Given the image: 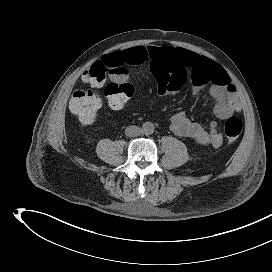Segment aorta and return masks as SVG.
I'll return each mask as SVG.
<instances>
[{"label": "aorta", "mask_w": 272, "mask_h": 272, "mask_svg": "<svg viewBox=\"0 0 272 272\" xmlns=\"http://www.w3.org/2000/svg\"><path fill=\"white\" fill-rule=\"evenodd\" d=\"M155 130V126L152 122H145L143 125H142V132L145 134V135H150L154 132Z\"/></svg>", "instance_id": "obj_1"}]
</instances>
